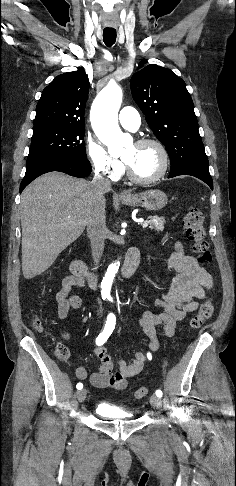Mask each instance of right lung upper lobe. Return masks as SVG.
Returning <instances> with one entry per match:
<instances>
[{
  "mask_svg": "<svg viewBox=\"0 0 236 486\" xmlns=\"http://www.w3.org/2000/svg\"><path fill=\"white\" fill-rule=\"evenodd\" d=\"M89 83L83 69L58 75L42 92L34 127H85Z\"/></svg>",
  "mask_w": 236,
  "mask_h": 486,
  "instance_id": "1",
  "label": "right lung upper lobe"
}]
</instances>
